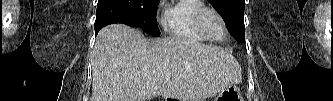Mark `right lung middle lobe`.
I'll return each instance as SVG.
<instances>
[{
	"instance_id": "dd1d6c3e",
	"label": "right lung middle lobe",
	"mask_w": 333,
	"mask_h": 101,
	"mask_svg": "<svg viewBox=\"0 0 333 101\" xmlns=\"http://www.w3.org/2000/svg\"><path fill=\"white\" fill-rule=\"evenodd\" d=\"M127 11L133 22V27H139L143 31L160 36L157 26L156 10L160 0H115ZM105 2L99 0L98 4Z\"/></svg>"
}]
</instances>
